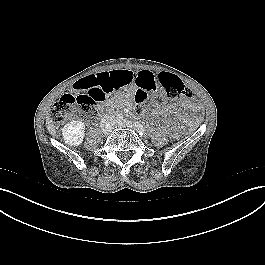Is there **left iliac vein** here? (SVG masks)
<instances>
[{
	"instance_id": "1",
	"label": "left iliac vein",
	"mask_w": 265,
	"mask_h": 265,
	"mask_svg": "<svg viewBox=\"0 0 265 265\" xmlns=\"http://www.w3.org/2000/svg\"><path fill=\"white\" fill-rule=\"evenodd\" d=\"M122 126H126L128 128H134V124L129 120H124V121L116 124V127H122Z\"/></svg>"
}]
</instances>
